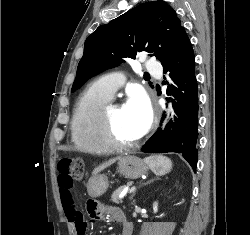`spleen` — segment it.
Segmentation results:
<instances>
[{
  "instance_id": "spleen-1",
  "label": "spleen",
  "mask_w": 250,
  "mask_h": 235,
  "mask_svg": "<svg viewBox=\"0 0 250 235\" xmlns=\"http://www.w3.org/2000/svg\"><path fill=\"white\" fill-rule=\"evenodd\" d=\"M145 163L158 176L165 175L172 169V162L162 155L149 156L144 159Z\"/></svg>"
}]
</instances>
